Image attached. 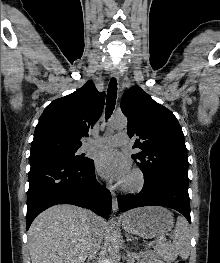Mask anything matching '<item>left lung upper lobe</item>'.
<instances>
[{"instance_id": "left-lung-upper-lobe-1", "label": "left lung upper lobe", "mask_w": 220, "mask_h": 263, "mask_svg": "<svg viewBox=\"0 0 220 263\" xmlns=\"http://www.w3.org/2000/svg\"><path fill=\"white\" fill-rule=\"evenodd\" d=\"M121 109L128 119L129 137H137L133 148L142 150L132 158L145 181L164 176L188 184L187 149L174 114L138 86L123 94Z\"/></svg>"}]
</instances>
